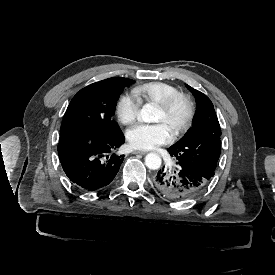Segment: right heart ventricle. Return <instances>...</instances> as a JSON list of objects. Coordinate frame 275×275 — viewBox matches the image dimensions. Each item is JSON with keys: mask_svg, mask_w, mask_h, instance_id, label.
I'll use <instances>...</instances> for the list:
<instances>
[{"mask_svg": "<svg viewBox=\"0 0 275 275\" xmlns=\"http://www.w3.org/2000/svg\"><path fill=\"white\" fill-rule=\"evenodd\" d=\"M134 94L143 102H157L177 92L171 84L163 81H148L136 86Z\"/></svg>", "mask_w": 275, "mask_h": 275, "instance_id": "e07e8e85", "label": "right heart ventricle"}]
</instances>
